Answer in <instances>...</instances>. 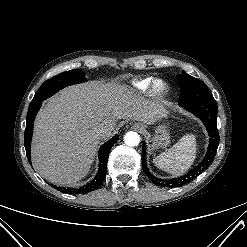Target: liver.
<instances>
[{"mask_svg": "<svg viewBox=\"0 0 247 247\" xmlns=\"http://www.w3.org/2000/svg\"><path fill=\"white\" fill-rule=\"evenodd\" d=\"M168 113L162 103L124 85L90 81L67 87L47 102L36 119L33 166L49 182L71 185L88 173L100 140L111 136L118 119L153 124ZM99 124L108 128L102 137L94 132Z\"/></svg>", "mask_w": 247, "mask_h": 247, "instance_id": "obj_1", "label": "liver"}]
</instances>
